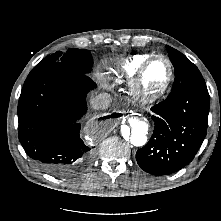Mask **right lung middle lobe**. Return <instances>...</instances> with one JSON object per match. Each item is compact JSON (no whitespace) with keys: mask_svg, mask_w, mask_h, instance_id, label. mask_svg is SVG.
Wrapping results in <instances>:
<instances>
[{"mask_svg":"<svg viewBox=\"0 0 221 221\" xmlns=\"http://www.w3.org/2000/svg\"><path fill=\"white\" fill-rule=\"evenodd\" d=\"M47 62H58L68 69L83 74L88 73L93 65L91 53L88 50L76 48H71L66 53L58 51L52 55H48L40 63Z\"/></svg>","mask_w":221,"mask_h":221,"instance_id":"1","label":"right lung middle lobe"}]
</instances>
